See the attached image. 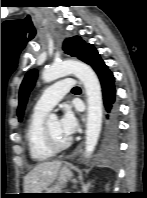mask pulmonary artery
Returning a JSON list of instances; mask_svg holds the SVG:
<instances>
[{"label": "pulmonary artery", "mask_w": 147, "mask_h": 198, "mask_svg": "<svg viewBox=\"0 0 147 198\" xmlns=\"http://www.w3.org/2000/svg\"><path fill=\"white\" fill-rule=\"evenodd\" d=\"M73 85L74 81L70 78H66L54 83L48 87L38 98L35 103L34 110L38 112L50 111L63 99L65 94L71 90Z\"/></svg>", "instance_id": "e3ab8cb5"}]
</instances>
